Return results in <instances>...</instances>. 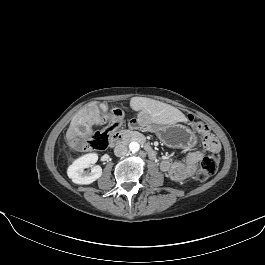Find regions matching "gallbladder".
Returning <instances> with one entry per match:
<instances>
[{"instance_id": "obj_1", "label": "gallbladder", "mask_w": 265, "mask_h": 265, "mask_svg": "<svg viewBox=\"0 0 265 265\" xmlns=\"http://www.w3.org/2000/svg\"><path fill=\"white\" fill-rule=\"evenodd\" d=\"M100 107H101V109H102L103 111H107V110H108V106H107V104L102 103V104H100Z\"/></svg>"}]
</instances>
